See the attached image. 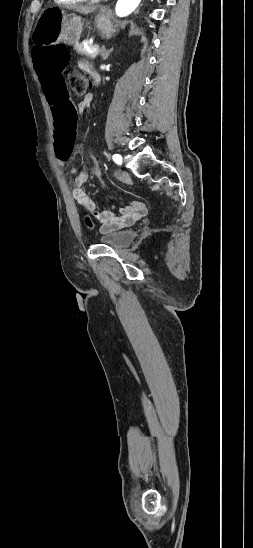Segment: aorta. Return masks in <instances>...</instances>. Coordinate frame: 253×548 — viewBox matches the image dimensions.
Masks as SVG:
<instances>
[{"label": "aorta", "instance_id": "obj_1", "mask_svg": "<svg viewBox=\"0 0 253 548\" xmlns=\"http://www.w3.org/2000/svg\"><path fill=\"white\" fill-rule=\"evenodd\" d=\"M141 0H118L115 11L119 17H125L132 13L140 4Z\"/></svg>", "mask_w": 253, "mask_h": 548}]
</instances>
